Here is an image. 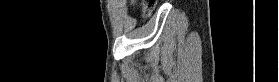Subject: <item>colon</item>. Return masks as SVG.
<instances>
[{
    "label": "colon",
    "instance_id": "5ec220e1",
    "mask_svg": "<svg viewBox=\"0 0 279 82\" xmlns=\"http://www.w3.org/2000/svg\"><path fill=\"white\" fill-rule=\"evenodd\" d=\"M155 0H130V3L133 6H140L142 8L143 14L145 16H149L154 5H155Z\"/></svg>",
    "mask_w": 279,
    "mask_h": 82
}]
</instances>
